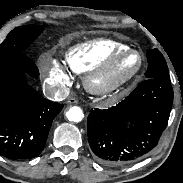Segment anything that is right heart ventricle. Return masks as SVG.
Returning a JSON list of instances; mask_svg holds the SVG:
<instances>
[{"label": "right heart ventricle", "mask_w": 183, "mask_h": 183, "mask_svg": "<svg viewBox=\"0 0 183 183\" xmlns=\"http://www.w3.org/2000/svg\"><path fill=\"white\" fill-rule=\"evenodd\" d=\"M124 48L128 47L105 38L79 43L65 52V66L78 75H84L101 65L113 52Z\"/></svg>", "instance_id": "1"}]
</instances>
